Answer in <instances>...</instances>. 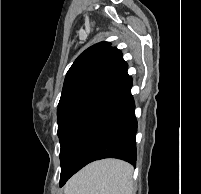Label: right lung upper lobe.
Wrapping results in <instances>:
<instances>
[{
	"label": "right lung upper lobe",
	"mask_w": 201,
	"mask_h": 194,
	"mask_svg": "<svg viewBox=\"0 0 201 194\" xmlns=\"http://www.w3.org/2000/svg\"><path fill=\"white\" fill-rule=\"evenodd\" d=\"M127 69L121 51L110 42L89 47L68 70L58 107L77 99H94L128 77Z\"/></svg>",
	"instance_id": "cb5924a9"
}]
</instances>
